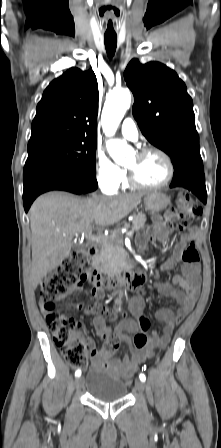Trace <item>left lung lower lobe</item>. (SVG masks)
I'll return each instance as SVG.
<instances>
[{
    "label": "left lung lower lobe",
    "instance_id": "1",
    "mask_svg": "<svg viewBox=\"0 0 221 448\" xmlns=\"http://www.w3.org/2000/svg\"><path fill=\"white\" fill-rule=\"evenodd\" d=\"M170 187H184L192 191L204 204L207 201L202 159L190 160L174 169Z\"/></svg>",
    "mask_w": 221,
    "mask_h": 448
}]
</instances>
